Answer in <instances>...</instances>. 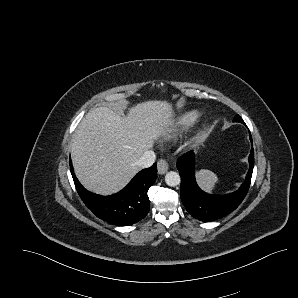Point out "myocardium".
Instances as JSON below:
<instances>
[{"label":"myocardium","mask_w":298,"mask_h":298,"mask_svg":"<svg viewBox=\"0 0 298 298\" xmlns=\"http://www.w3.org/2000/svg\"><path fill=\"white\" fill-rule=\"evenodd\" d=\"M197 135L191 140V142H197L204 136L208 135L211 131V125L207 120H200L196 126Z\"/></svg>","instance_id":"f54148a6"}]
</instances>
